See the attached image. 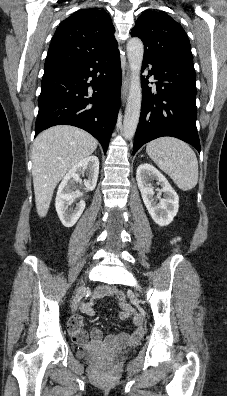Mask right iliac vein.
Wrapping results in <instances>:
<instances>
[{
    "label": "right iliac vein",
    "instance_id": "right-iliac-vein-1",
    "mask_svg": "<svg viewBox=\"0 0 227 396\" xmlns=\"http://www.w3.org/2000/svg\"><path fill=\"white\" fill-rule=\"evenodd\" d=\"M84 294H85L84 288L83 287H79L77 292H76V295H75V297L73 299V302H72V310L73 311L77 310L78 305H79L81 299L83 298Z\"/></svg>",
    "mask_w": 227,
    "mask_h": 396
}]
</instances>
